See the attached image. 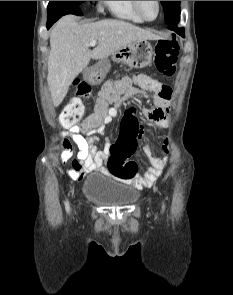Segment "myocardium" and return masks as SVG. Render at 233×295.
Wrapping results in <instances>:
<instances>
[{
	"instance_id": "obj_1",
	"label": "myocardium",
	"mask_w": 233,
	"mask_h": 295,
	"mask_svg": "<svg viewBox=\"0 0 233 295\" xmlns=\"http://www.w3.org/2000/svg\"><path fill=\"white\" fill-rule=\"evenodd\" d=\"M156 4H157V14H156V16L153 19H149V18H146L143 15V13L141 12L139 1H132V5H133V8H134L135 12L141 17V19L143 21H146V22L154 21V20H156L159 17L160 12H161V2L160 1H156Z\"/></svg>"
}]
</instances>
